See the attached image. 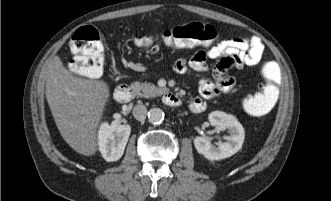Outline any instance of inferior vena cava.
I'll list each match as a JSON object with an SVG mask.
<instances>
[{"label":"inferior vena cava","mask_w":331,"mask_h":201,"mask_svg":"<svg viewBox=\"0 0 331 201\" xmlns=\"http://www.w3.org/2000/svg\"><path fill=\"white\" fill-rule=\"evenodd\" d=\"M132 113L135 119L142 121L146 118L147 108L143 104H137L134 106Z\"/></svg>","instance_id":"602c4592"}]
</instances>
